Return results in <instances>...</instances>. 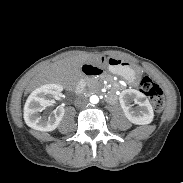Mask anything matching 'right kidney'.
Masks as SVG:
<instances>
[{
  "label": "right kidney",
  "instance_id": "obj_1",
  "mask_svg": "<svg viewBox=\"0 0 183 183\" xmlns=\"http://www.w3.org/2000/svg\"><path fill=\"white\" fill-rule=\"evenodd\" d=\"M62 91V86L51 83L41 86L31 93L24 107V120L32 129L39 131H53L61 122L65 109L58 106L53 115L45 117L41 115V111L51 105L52 98Z\"/></svg>",
  "mask_w": 183,
  "mask_h": 183
}]
</instances>
